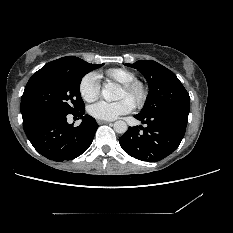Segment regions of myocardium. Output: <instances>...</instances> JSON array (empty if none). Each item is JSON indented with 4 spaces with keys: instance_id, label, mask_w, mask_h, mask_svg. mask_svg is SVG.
Masks as SVG:
<instances>
[{
    "instance_id": "1",
    "label": "myocardium",
    "mask_w": 233,
    "mask_h": 233,
    "mask_svg": "<svg viewBox=\"0 0 233 233\" xmlns=\"http://www.w3.org/2000/svg\"><path fill=\"white\" fill-rule=\"evenodd\" d=\"M121 88H123L128 96L131 98L134 106L136 107H142L149 95V90L147 85L139 80V79H134L130 82L123 83L121 84Z\"/></svg>"
}]
</instances>
